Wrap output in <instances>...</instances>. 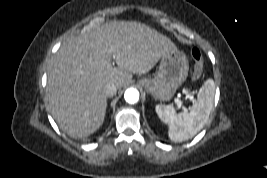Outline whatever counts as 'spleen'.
Masks as SVG:
<instances>
[{"instance_id": "1", "label": "spleen", "mask_w": 267, "mask_h": 178, "mask_svg": "<svg viewBox=\"0 0 267 178\" xmlns=\"http://www.w3.org/2000/svg\"><path fill=\"white\" fill-rule=\"evenodd\" d=\"M214 94V81L208 79L200 88L197 102L189 112L176 114L175 108L171 105H156L157 115L169 126L168 137L171 141H185L195 136L204 127L213 108Z\"/></svg>"}]
</instances>
